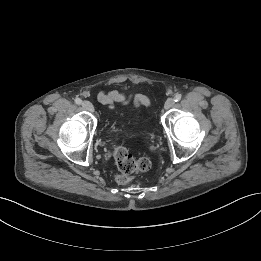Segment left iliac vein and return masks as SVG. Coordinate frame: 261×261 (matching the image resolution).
<instances>
[{
  "instance_id": "1",
  "label": "left iliac vein",
  "mask_w": 261,
  "mask_h": 261,
  "mask_svg": "<svg viewBox=\"0 0 261 261\" xmlns=\"http://www.w3.org/2000/svg\"><path fill=\"white\" fill-rule=\"evenodd\" d=\"M175 105V100L173 98H168L165 102V109L168 110L170 108H172Z\"/></svg>"
}]
</instances>
